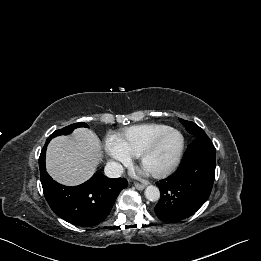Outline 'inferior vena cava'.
Listing matches in <instances>:
<instances>
[{
	"mask_svg": "<svg viewBox=\"0 0 261 261\" xmlns=\"http://www.w3.org/2000/svg\"><path fill=\"white\" fill-rule=\"evenodd\" d=\"M104 172L109 178H118L122 176L124 168L118 162H108L105 166Z\"/></svg>",
	"mask_w": 261,
	"mask_h": 261,
	"instance_id": "602c4592",
	"label": "inferior vena cava"
}]
</instances>
